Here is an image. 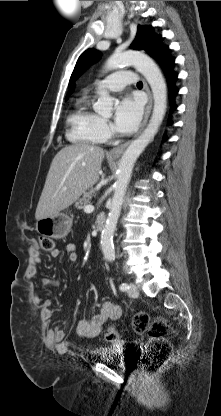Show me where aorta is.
Here are the masks:
<instances>
[{
	"label": "aorta",
	"mask_w": 221,
	"mask_h": 416,
	"mask_svg": "<svg viewBox=\"0 0 221 416\" xmlns=\"http://www.w3.org/2000/svg\"><path fill=\"white\" fill-rule=\"evenodd\" d=\"M121 65H133L145 77L152 90L154 106L147 127L136 140L131 142L119 162L111 208L101 235V249L104 258L110 262L115 259L113 235L134 164L158 132L167 108V86L165 80L159 67L149 56L140 51L114 53L107 60L105 69L114 70ZM99 95L100 97L94 106V110L101 115L109 114L113 106L112 97L104 90H101Z\"/></svg>",
	"instance_id": "aorta-1"
}]
</instances>
